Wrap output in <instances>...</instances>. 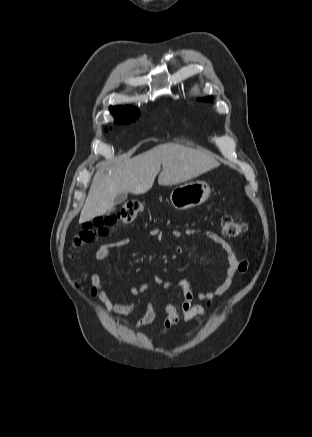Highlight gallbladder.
I'll return each instance as SVG.
<instances>
[{
  "mask_svg": "<svg viewBox=\"0 0 312 437\" xmlns=\"http://www.w3.org/2000/svg\"><path fill=\"white\" fill-rule=\"evenodd\" d=\"M127 196H128L127 192H122V193L118 194L115 198L114 203L115 204L123 203L127 199ZM114 211H115V207L111 206L108 209L104 210L103 214L109 215L111 212H114Z\"/></svg>",
  "mask_w": 312,
  "mask_h": 437,
  "instance_id": "obj_1",
  "label": "gallbladder"
}]
</instances>
